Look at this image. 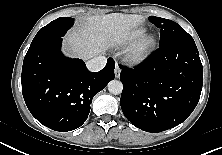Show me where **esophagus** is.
I'll return each instance as SVG.
<instances>
[{
	"label": "esophagus",
	"instance_id": "1",
	"mask_svg": "<svg viewBox=\"0 0 222 155\" xmlns=\"http://www.w3.org/2000/svg\"><path fill=\"white\" fill-rule=\"evenodd\" d=\"M120 72H121V70H120V68L118 67V65L116 64L115 69H114V73H115V77H116V78H119Z\"/></svg>",
	"mask_w": 222,
	"mask_h": 155
}]
</instances>
